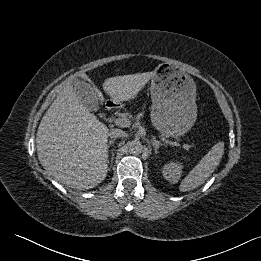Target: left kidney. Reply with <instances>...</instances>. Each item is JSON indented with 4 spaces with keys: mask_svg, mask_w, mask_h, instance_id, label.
<instances>
[{
    "mask_svg": "<svg viewBox=\"0 0 261 261\" xmlns=\"http://www.w3.org/2000/svg\"><path fill=\"white\" fill-rule=\"evenodd\" d=\"M182 164L179 162H170L163 166L162 173L166 180L170 183L175 184L181 177L182 174Z\"/></svg>",
    "mask_w": 261,
    "mask_h": 261,
    "instance_id": "obj_1",
    "label": "left kidney"
}]
</instances>
